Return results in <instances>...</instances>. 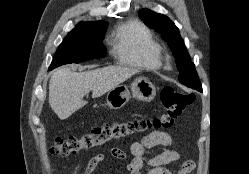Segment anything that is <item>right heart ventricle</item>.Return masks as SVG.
I'll return each mask as SVG.
<instances>
[{"instance_id":"obj_1","label":"right heart ventricle","mask_w":249,"mask_h":174,"mask_svg":"<svg viewBox=\"0 0 249 174\" xmlns=\"http://www.w3.org/2000/svg\"><path fill=\"white\" fill-rule=\"evenodd\" d=\"M113 54L125 66L138 69H158L161 66L160 45L138 20H128L115 28Z\"/></svg>"}]
</instances>
